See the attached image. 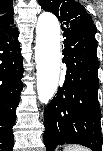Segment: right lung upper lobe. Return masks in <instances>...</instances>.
<instances>
[{
    "label": "right lung upper lobe",
    "mask_w": 103,
    "mask_h": 151,
    "mask_svg": "<svg viewBox=\"0 0 103 151\" xmlns=\"http://www.w3.org/2000/svg\"><path fill=\"white\" fill-rule=\"evenodd\" d=\"M13 2L12 0L0 1V35L10 34L17 31V28L13 25Z\"/></svg>",
    "instance_id": "cb5924a9"
}]
</instances>
